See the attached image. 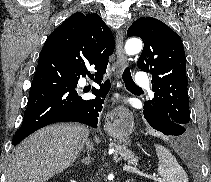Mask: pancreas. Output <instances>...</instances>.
Here are the masks:
<instances>
[{"label":"pancreas","instance_id":"obj_1","mask_svg":"<svg viewBox=\"0 0 211 182\" xmlns=\"http://www.w3.org/2000/svg\"><path fill=\"white\" fill-rule=\"evenodd\" d=\"M111 148L114 149L113 158L116 162L124 159L127 161L128 165H133L138 162V157H136L133 152L127 149L124 145H112Z\"/></svg>","mask_w":211,"mask_h":182}]
</instances>
